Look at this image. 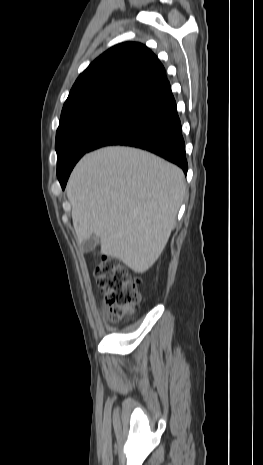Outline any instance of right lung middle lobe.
Returning <instances> with one entry per match:
<instances>
[{
    "mask_svg": "<svg viewBox=\"0 0 263 465\" xmlns=\"http://www.w3.org/2000/svg\"><path fill=\"white\" fill-rule=\"evenodd\" d=\"M112 96L87 101L61 113L56 133L58 179L70 174L77 161L136 101Z\"/></svg>",
    "mask_w": 263,
    "mask_h": 465,
    "instance_id": "1",
    "label": "right lung middle lobe"
}]
</instances>
